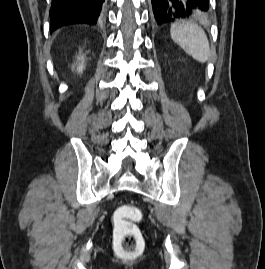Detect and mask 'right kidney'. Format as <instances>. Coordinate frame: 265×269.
<instances>
[{
	"instance_id": "right-kidney-1",
	"label": "right kidney",
	"mask_w": 265,
	"mask_h": 269,
	"mask_svg": "<svg viewBox=\"0 0 265 269\" xmlns=\"http://www.w3.org/2000/svg\"><path fill=\"white\" fill-rule=\"evenodd\" d=\"M79 60H81L82 62H81V64L78 66L77 71H78L79 73H82V71H83V69H84V58L81 57V58H79Z\"/></svg>"
}]
</instances>
